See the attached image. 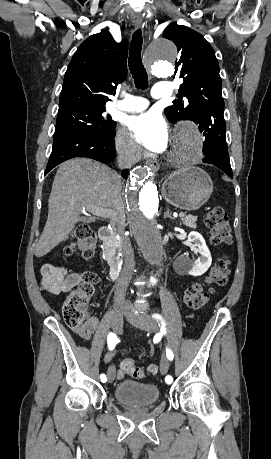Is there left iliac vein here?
I'll use <instances>...</instances> for the list:
<instances>
[{
	"instance_id": "obj_1",
	"label": "left iliac vein",
	"mask_w": 271,
	"mask_h": 459,
	"mask_svg": "<svg viewBox=\"0 0 271 459\" xmlns=\"http://www.w3.org/2000/svg\"><path fill=\"white\" fill-rule=\"evenodd\" d=\"M128 321L132 324L139 326L141 329L147 332H158L159 327L156 320L150 318L147 314H134L133 312H128ZM168 360L165 355L160 361V371L162 374H166L168 371Z\"/></svg>"
}]
</instances>
